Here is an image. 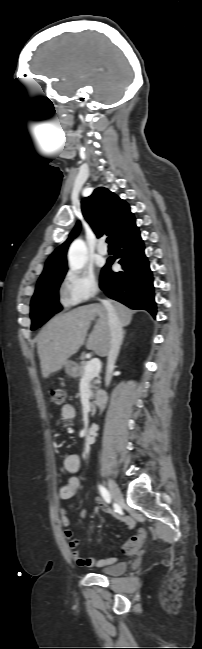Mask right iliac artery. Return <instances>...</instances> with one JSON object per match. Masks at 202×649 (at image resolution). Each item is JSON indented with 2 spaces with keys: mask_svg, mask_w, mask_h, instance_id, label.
I'll list each match as a JSON object with an SVG mask.
<instances>
[{
  "mask_svg": "<svg viewBox=\"0 0 202 649\" xmlns=\"http://www.w3.org/2000/svg\"><path fill=\"white\" fill-rule=\"evenodd\" d=\"M99 491H100V493H101L103 499H104L107 503H110V502H111V495H110L109 491H108L105 487H103V486H101V485H99Z\"/></svg>",
  "mask_w": 202,
  "mask_h": 649,
  "instance_id": "82829eb1",
  "label": "right iliac artery"
}]
</instances>
